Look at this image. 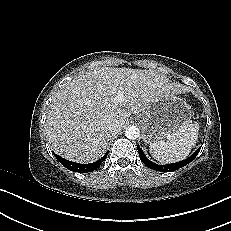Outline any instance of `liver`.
Masks as SVG:
<instances>
[{"instance_id": "obj_1", "label": "liver", "mask_w": 231, "mask_h": 231, "mask_svg": "<svg viewBox=\"0 0 231 231\" xmlns=\"http://www.w3.org/2000/svg\"><path fill=\"white\" fill-rule=\"evenodd\" d=\"M183 90L153 70L96 68L55 94L45 122L48 141L68 160L94 162L106 152L108 125L114 123L121 130L131 113H144L158 97ZM118 92L123 101L114 102Z\"/></svg>"}]
</instances>
